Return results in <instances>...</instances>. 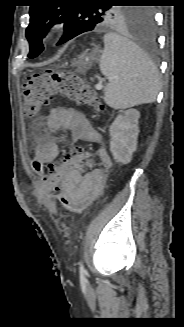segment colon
<instances>
[{"label": "colon", "mask_w": 184, "mask_h": 327, "mask_svg": "<svg viewBox=\"0 0 184 327\" xmlns=\"http://www.w3.org/2000/svg\"><path fill=\"white\" fill-rule=\"evenodd\" d=\"M68 98L79 105H90L98 110L102 105L97 101L93 89L77 74L69 71H46L29 78L23 89V112L27 117L37 115L57 96ZM73 154L90 153L81 147L73 148ZM51 202H58L63 208L74 213L82 212L90 202L76 200L62 192L50 197Z\"/></svg>", "instance_id": "colon-1"}]
</instances>
